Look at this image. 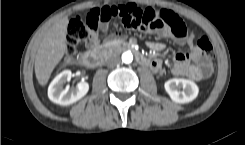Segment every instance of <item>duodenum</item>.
<instances>
[{
    "label": "duodenum",
    "mask_w": 245,
    "mask_h": 145,
    "mask_svg": "<svg viewBox=\"0 0 245 145\" xmlns=\"http://www.w3.org/2000/svg\"><path fill=\"white\" fill-rule=\"evenodd\" d=\"M124 50L131 51L132 47H129V46L125 47ZM135 58L141 64H145L146 63V61L139 54H135ZM97 62H98V57L97 56H95L93 54H89V55L86 56L85 63L87 65L95 66L97 64Z\"/></svg>",
    "instance_id": "410a0bca"
}]
</instances>
